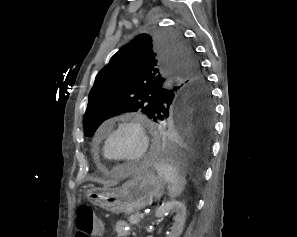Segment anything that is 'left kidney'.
Here are the masks:
<instances>
[{
  "label": "left kidney",
  "instance_id": "left-kidney-1",
  "mask_svg": "<svg viewBox=\"0 0 297 237\" xmlns=\"http://www.w3.org/2000/svg\"><path fill=\"white\" fill-rule=\"evenodd\" d=\"M169 212L176 213V215L173 218L174 222L170 232L167 233V237H180L185 225L186 207L182 202L175 200L165 202L156 210L155 216L157 218L163 219L164 216Z\"/></svg>",
  "mask_w": 297,
  "mask_h": 237
}]
</instances>
